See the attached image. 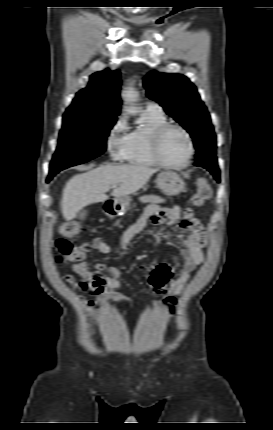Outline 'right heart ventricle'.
<instances>
[{
  "label": "right heart ventricle",
  "mask_w": 273,
  "mask_h": 430,
  "mask_svg": "<svg viewBox=\"0 0 273 430\" xmlns=\"http://www.w3.org/2000/svg\"><path fill=\"white\" fill-rule=\"evenodd\" d=\"M140 120L142 125L128 133L129 146L125 161L136 167H155L157 164L151 154V135L158 126L167 122L166 117L163 112L146 109Z\"/></svg>",
  "instance_id": "right-heart-ventricle-1"
}]
</instances>
